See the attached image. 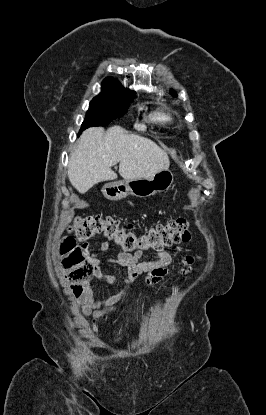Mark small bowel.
Here are the masks:
<instances>
[{
	"label": "small bowel",
	"instance_id": "c3829d8e",
	"mask_svg": "<svg viewBox=\"0 0 266 415\" xmlns=\"http://www.w3.org/2000/svg\"><path fill=\"white\" fill-rule=\"evenodd\" d=\"M183 248L179 247L178 250ZM100 250L109 254L110 257L103 260L97 256L92 258L94 264V274L102 281L115 284L121 281L122 290L105 301H96L93 298L92 284L90 282L83 284L80 292L76 293L77 302L86 316H90L93 322L104 320L116 307L121 303L130 289V285L139 277L144 276L148 285H156L164 281L169 275L167 266L171 264L172 257L168 250L161 249L153 255L151 259L142 260L143 251L137 250L134 254L117 252L110 245L103 241L100 243ZM108 262L120 267H126L127 272L124 277L119 279L113 275H107L100 271L99 265L102 262ZM194 259L192 256H186L183 259L182 274L191 270Z\"/></svg>",
	"mask_w": 266,
	"mask_h": 415
}]
</instances>
